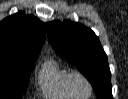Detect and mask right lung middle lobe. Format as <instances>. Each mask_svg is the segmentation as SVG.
Here are the masks:
<instances>
[{
	"label": "right lung middle lobe",
	"mask_w": 128,
	"mask_h": 99,
	"mask_svg": "<svg viewBox=\"0 0 128 99\" xmlns=\"http://www.w3.org/2000/svg\"><path fill=\"white\" fill-rule=\"evenodd\" d=\"M37 57L0 55V97L11 99L22 97Z\"/></svg>",
	"instance_id": "1"
}]
</instances>
